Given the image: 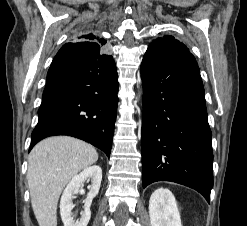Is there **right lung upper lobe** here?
Wrapping results in <instances>:
<instances>
[{
  "label": "right lung upper lobe",
  "instance_id": "obj_1",
  "mask_svg": "<svg viewBox=\"0 0 247 226\" xmlns=\"http://www.w3.org/2000/svg\"><path fill=\"white\" fill-rule=\"evenodd\" d=\"M77 38L79 39V41L100 44L102 47H105V44H106V40L104 38H101L97 34H94V33H85V34L79 35Z\"/></svg>",
  "mask_w": 247,
  "mask_h": 226
}]
</instances>
